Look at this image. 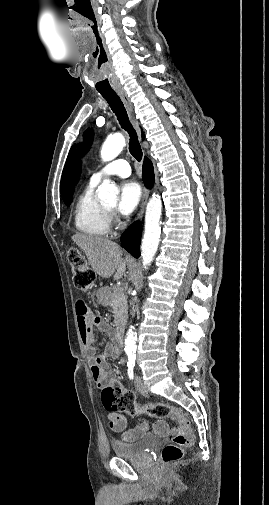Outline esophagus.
<instances>
[{
	"mask_svg": "<svg viewBox=\"0 0 269 505\" xmlns=\"http://www.w3.org/2000/svg\"><path fill=\"white\" fill-rule=\"evenodd\" d=\"M116 92L119 95V97L121 98V100L127 110L130 121L132 122V124L135 127V129L137 130V132L140 134V128L138 125V121L136 120L135 115H134L133 104H132L129 96L127 95V92L124 89H117ZM148 196H149V190L147 188H145L143 191L141 205H140V209H139V212L137 215V220H141V218L143 216Z\"/></svg>",
	"mask_w": 269,
	"mask_h": 505,
	"instance_id": "34e87169",
	"label": "esophagus"
}]
</instances>
